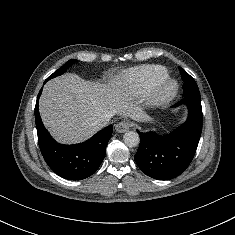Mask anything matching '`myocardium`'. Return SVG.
Here are the masks:
<instances>
[{
  "mask_svg": "<svg viewBox=\"0 0 235 235\" xmlns=\"http://www.w3.org/2000/svg\"><path fill=\"white\" fill-rule=\"evenodd\" d=\"M178 82L169 77L156 81L145 95L146 103L150 107H160L171 102L178 94Z\"/></svg>",
  "mask_w": 235,
  "mask_h": 235,
  "instance_id": "f54148a6",
  "label": "myocardium"
}]
</instances>
